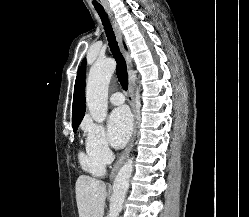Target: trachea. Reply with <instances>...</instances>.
I'll list each match as a JSON object with an SVG mask.
<instances>
[{
	"instance_id": "obj_1",
	"label": "trachea",
	"mask_w": 249,
	"mask_h": 217,
	"mask_svg": "<svg viewBox=\"0 0 249 217\" xmlns=\"http://www.w3.org/2000/svg\"><path fill=\"white\" fill-rule=\"evenodd\" d=\"M95 9L97 13L99 14L102 24L104 26V30L109 42V47L110 50L116 60L117 63V68H116V75L117 78L123 87L124 90H127L128 88V73H127V68H126V62L125 59L123 58L119 47L118 43L116 41V37L114 35L113 29L111 27V24L107 18V15L103 9L102 6H95Z\"/></svg>"
}]
</instances>
